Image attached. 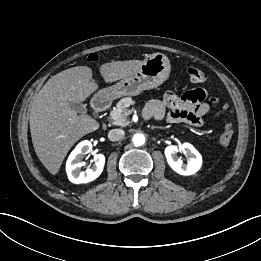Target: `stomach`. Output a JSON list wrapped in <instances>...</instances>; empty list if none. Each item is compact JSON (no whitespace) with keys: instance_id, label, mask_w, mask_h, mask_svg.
Masks as SVG:
<instances>
[{"instance_id":"1","label":"stomach","mask_w":261,"mask_h":261,"mask_svg":"<svg viewBox=\"0 0 261 261\" xmlns=\"http://www.w3.org/2000/svg\"><path fill=\"white\" fill-rule=\"evenodd\" d=\"M171 65L168 57L162 53L148 56L132 75L122 78L116 84L102 89L97 95L110 100L123 96H136L144 90L158 87L170 75Z\"/></svg>"}]
</instances>
